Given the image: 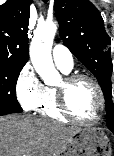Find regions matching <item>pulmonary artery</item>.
Instances as JSON below:
<instances>
[{"instance_id": "e3ab8cb5", "label": "pulmonary artery", "mask_w": 114, "mask_h": 156, "mask_svg": "<svg viewBox=\"0 0 114 156\" xmlns=\"http://www.w3.org/2000/svg\"><path fill=\"white\" fill-rule=\"evenodd\" d=\"M52 58L58 68L71 71L74 66L72 53L63 45L57 44L52 51Z\"/></svg>"}]
</instances>
